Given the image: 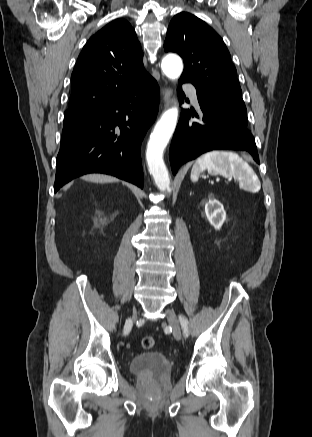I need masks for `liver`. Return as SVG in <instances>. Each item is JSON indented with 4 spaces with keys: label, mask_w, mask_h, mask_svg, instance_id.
<instances>
[{
    "label": "liver",
    "mask_w": 312,
    "mask_h": 437,
    "mask_svg": "<svg viewBox=\"0 0 312 437\" xmlns=\"http://www.w3.org/2000/svg\"><path fill=\"white\" fill-rule=\"evenodd\" d=\"M83 179L86 181L95 182V183H111V182L118 181V179H116L112 176H107V175H103V174H90V175L84 176Z\"/></svg>",
    "instance_id": "1"
}]
</instances>
